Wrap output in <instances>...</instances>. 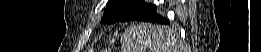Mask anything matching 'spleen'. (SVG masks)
<instances>
[{
	"label": "spleen",
	"instance_id": "obj_1",
	"mask_svg": "<svg viewBox=\"0 0 261 52\" xmlns=\"http://www.w3.org/2000/svg\"><path fill=\"white\" fill-rule=\"evenodd\" d=\"M134 52H171L172 43L163 27L132 25L125 30Z\"/></svg>",
	"mask_w": 261,
	"mask_h": 52
}]
</instances>
